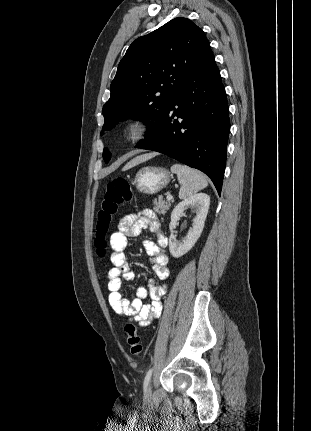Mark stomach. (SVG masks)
<instances>
[{"label": "stomach", "mask_w": 311, "mask_h": 431, "mask_svg": "<svg viewBox=\"0 0 311 431\" xmlns=\"http://www.w3.org/2000/svg\"><path fill=\"white\" fill-rule=\"evenodd\" d=\"M171 180V174L165 168H155V166H146V168H140L136 172L134 178V184L136 190L141 194H157L163 188L168 186Z\"/></svg>", "instance_id": "stomach-1"}]
</instances>
